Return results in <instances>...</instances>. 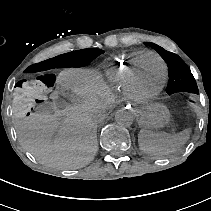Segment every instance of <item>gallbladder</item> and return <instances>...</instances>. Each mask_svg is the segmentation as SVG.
<instances>
[{"label":"gallbladder","instance_id":"bac80fb5","mask_svg":"<svg viewBox=\"0 0 211 211\" xmlns=\"http://www.w3.org/2000/svg\"><path fill=\"white\" fill-rule=\"evenodd\" d=\"M60 95L65 98V99H68V100H73V99H76V96L75 94L70 90V89H64L60 92ZM56 106L59 108V109H62L66 106V101L64 99H57L56 100Z\"/></svg>","mask_w":211,"mask_h":211}]
</instances>
